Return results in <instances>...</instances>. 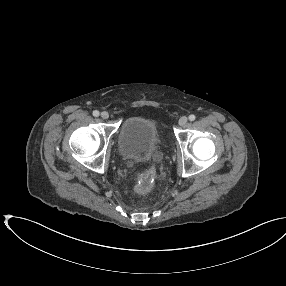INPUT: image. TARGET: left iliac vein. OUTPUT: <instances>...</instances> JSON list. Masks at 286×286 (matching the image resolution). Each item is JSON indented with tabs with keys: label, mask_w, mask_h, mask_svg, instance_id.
<instances>
[{
	"label": "left iliac vein",
	"mask_w": 286,
	"mask_h": 286,
	"mask_svg": "<svg viewBox=\"0 0 286 286\" xmlns=\"http://www.w3.org/2000/svg\"><path fill=\"white\" fill-rule=\"evenodd\" d=\"M188 119L186 116H182L180 119H179V125L180 126H184L186 123H187Z\"/></svg>",
	"instance_id": "1"
}]
</instances>
